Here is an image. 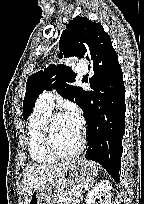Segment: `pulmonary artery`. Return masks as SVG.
I'll return each mask as SVG.
<instances>
[{"mask_svg":"<svg viewBox=\"0 0 144 204\" xmlns=\"http://www.w3.org/2000/svg\"><path fill=\"white\" fill-rule=\"evenodd\" d=\"M78 72L84 73V72H86V69L85 68H79ZM56 95H57V93L55 90L44 91L39 96L37 103L52 110V108L54 106V99H55Z\"/></svg>","mask_w":144,"mask_h":204,"instance_id":"e3ab8cb5","label":"pulmonary artery"}]
</instances>
